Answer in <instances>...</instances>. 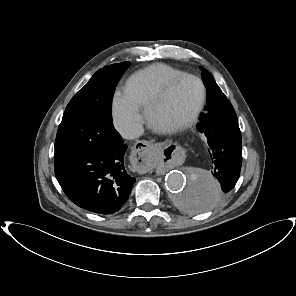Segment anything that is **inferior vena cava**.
Wrapping results in <instances>:
<instances>
[{
	"label": "inferior vena cava",
	"mask_w": 296,
	"mask_h": 296,
	"mask_svg": "<svg viewBox=\"0 0 296 296\" xmlns=\"http://www.w3.org/2000/svg\"><path fill=\"white\" fill-rule=\"evenodd\" d=\"M144 132L143 126L138 123H133L125 126L120 130V134L123 138L132 140L141 136Z\"/></svg>",
	"instance_id": "602c4592"
}]
</instances>
